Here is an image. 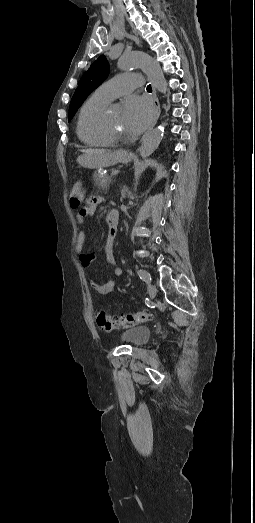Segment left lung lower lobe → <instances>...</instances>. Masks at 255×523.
<instances>
[{"mask_svg":"<svg viewBox=\"0 0 255 523\" xmlns=\"http://www.w3.org/2000/svg\"><path fill=\"white\" fill-rule=\"evenodd\" d=\"M166 158H171V153H166Z\"/></svg>","mask_w":255,"mask_h":523,"instance_id":"0a47b994","label":"left lung lower lobe"}]
</instances>
